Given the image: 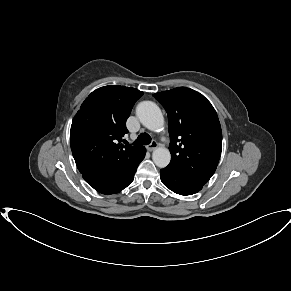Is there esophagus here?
<instances>
[{
    "mask_svg": "<svg viewBox=\"0 0 291 291\" xmlns=\"http://www.w3.org/2000/svg\"><path fill=\"white\" fill-rule=\"evenodd\" d=\"M158 147V143L156 141H152L150 143V145L147 146V149L149 151H153L154 149H156Z\"/></svg>",
    "mask_w": 291,
    "mask_h": 291,
    "instance_id": "1",
    "label": "esophagus"
}]
</instances>
